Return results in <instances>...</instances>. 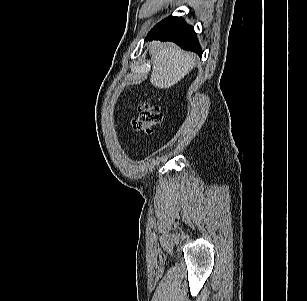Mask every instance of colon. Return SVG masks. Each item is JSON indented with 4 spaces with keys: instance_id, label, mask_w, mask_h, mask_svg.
<instances>
[{
    "instance_id": "obj_1",
    "label": "colon",
    "mask_w": 307,
    "mask_h": 301,
    "mask_svg": "<svg viewBox=\"0 0 307 301\" xmlns=\"http://www.w3.org/2000/svg\"><path fill=\"white\" fill-rule=\"evenodd\" d=\"M161 119L162 114L158 107L142 104L138 107V116L132 124L136 131L150 132Z\"/></svg>"
}]
</instances>
